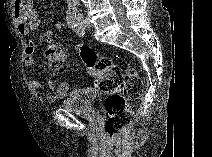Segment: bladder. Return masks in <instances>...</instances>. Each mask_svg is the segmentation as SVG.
<instances>
[{
	"mask_svg": "<svg viewBox=\"0 0 212 157\" xmlns=\"http://www.w3.org/2000/svg\"><path fill=\"white\" fill-rule=\"evenodd\" d=\"M105 99V94L93 87L73 89L60 102V106L79 114L86 119L95 120L98 117V106Z\"/></svg>",
	"mask_w": 212,
	"mask_h": 157,
	"instance_id": "31cf9c89",
	"label": "bladder"
}]
</instances>
